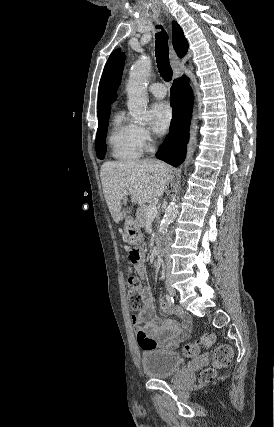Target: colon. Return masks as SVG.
<instances>
[{"mask_svg": "<svg viewBox=\"0 0 274 427\" xmlns=\"http://www.w3.org/2000/svg\"><path fill=\"white\" fill-rule=\"evenodd\" d=\"M144 258V247L136 246L131 249L130 259L132 263H139L140 259ZM129 286V295L127 298V306L131 311L137 310L142 303V288L141 283L135 275L131 274L127 280ZM214 341L213 333L205 332L200 334L195 342L186 343L183 346V356L190 358L197 352L199 348H209L212 346ZM233 350L229 345L221 344L215 348L214 352V366L217 368L230 366L233 360ZM214 369L206 368L201 373V379L203 381H210L214 377Z\"/></svg>", "mask_w": 274, "mask_h": 427, "instance_id": "5ec220e1", "label": "colon"}]
</instances>
